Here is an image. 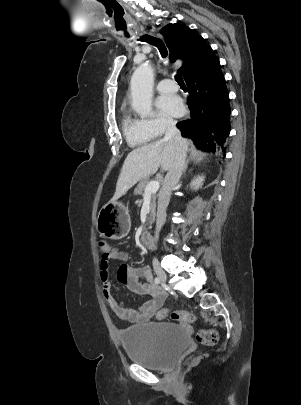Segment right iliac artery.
<instances>
[{
  "label": "right iliac artery",
  "instance_id": "obj_1",
  "mask_svg": "<svg viewBox=\"0 0 301 405\" xmlns=\"http://www.w3.org/2000/svg\"><path fill=\"white\" fill-rule=\"evenodd\" d=\"M154 282H155V284H160V279H159V278H155Z\"/></svg>",
  "mask_w": 301,
  "mask_h": 405
}]
</instances>
